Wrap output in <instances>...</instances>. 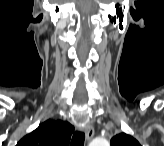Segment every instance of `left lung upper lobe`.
<instances>
[{
	"label": "left lung upper lobe",
	"instance_id": "left-lung-upper-lobe-1",
	"mask_svg": "<svg viewBox=\"0 0 164 146\" xmlns=\"http://www.w3.org/2000/svg\"><path fill=\"white\" fill-rule=\"evenodd\" d=\"M111 146H140V144L132 136L120 133L111 139Z\"/></svg>",
	"mask_w": 164,
	"mask_h": 146
}]
</instances>
